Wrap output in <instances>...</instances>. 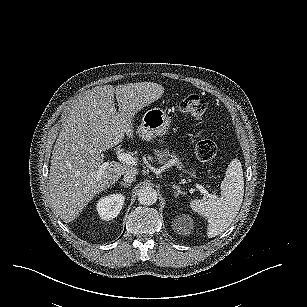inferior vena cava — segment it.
<instances>
[{
    "instance_id": "602c4592",
    "label": "inferior vena cava",
    "mask_w": 307,
    "mask_h": 307,
    "mask_svg": "<svg viewBox=\"0 0 307 307\" xmlns=\"http://www.w3.org/2000/svg\"><path fill=\"white\" fill-rule=\"evenodd\" d=\"M123 180L126 183H132L136 180V174L131 171H127L123 176Z\"/></svg>"
}]
</instances>
